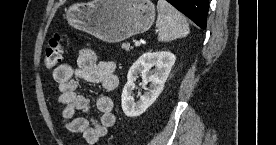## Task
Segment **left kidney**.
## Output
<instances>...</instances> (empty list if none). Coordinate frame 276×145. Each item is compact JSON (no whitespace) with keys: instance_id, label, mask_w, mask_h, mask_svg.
I'll list each match as a JSON object with an SVG mask.
<instances>
[{"instance_id":"obj_1","label":"left kidney","mask_w":276,"mask_h":145,"mask_svg":"<svg viewBox=\"0 0 276 145\" xmlns=\"http://www.w3.org/2000/svg\"><path fill=\"white\" fill-rule=\"evenodd\" d=\"M176 57L168 51L146 52L131 66L127 74V83L124 86L121 101L126 116L137 117L144 113L158 98L174 65ZM152 67H155L151 70ZM142 77V86L151 83L149 91L139 94L140 100L135 102L133 90L138 75Z\"/></svg>"}]
</instances>
